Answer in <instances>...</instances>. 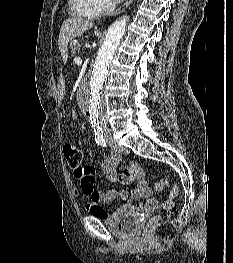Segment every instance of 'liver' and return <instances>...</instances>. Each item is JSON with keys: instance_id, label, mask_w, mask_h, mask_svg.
<instances>
[{"instance_id": "6515ba94", "label": "liver", "mask_w": 233, "mask_h": 263, "mask_svg": "<svg viewBox=\"0 0 233 263\" xmlns=\"http://www.w3.org/2000/svg\"><path fill=\"white\" fill-rule=\"evenodd\" d=\"M92 27V22L78 17L68 18L63 22L59 33L58 47L64 64L68 59V42L81 36Z\"/></svg>"}]
</instances>
